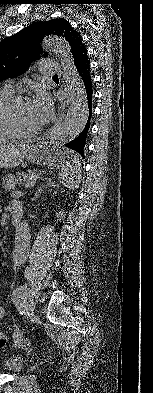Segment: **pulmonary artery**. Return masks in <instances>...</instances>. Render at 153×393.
Listing matches in <instances>:
<instances>
[{"mask_svg": "<svg viewBox=\"0 0 153 393\" xmlns=\"http://www.w3.org/2000/svg\"><path fill=\"white\" fill-rule=\"evenodd\" d=\"M42 66H43V69L46 70V69H48V67L50 66V64H48V63H43ZM16 87H17V86L12 85V82H9L8 85H7V88L10 89V90H12V91H13L14 88H16Z\"/></svg>", "mask_w": 153, "mask_h": 393, "instance_id": "pulmonary-artery-1", "label": "pulmonary artery"}]
</instances>
